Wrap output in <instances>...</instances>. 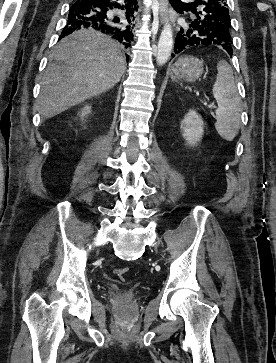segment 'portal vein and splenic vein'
Here are the masks:
<instances>
[{
  "instance_id": "1",
  "label": "portal vein and splenic vein",
  "mask_w": 276,
  "mask_h": 363,
  "mask_svg": "<svg viewBox=\"0 0 276 363\" xmlns=\"http://www.w3.org/2000/svg\"><path fill=\"white\" fill-rule=\"evenodd\" d=\"M204 105H207V103H206V102H204ZM208 108H214V104H213V103L208 104Z\"/></svg>"
}]
</instances>
